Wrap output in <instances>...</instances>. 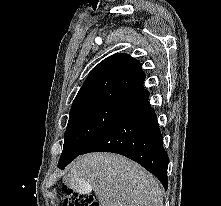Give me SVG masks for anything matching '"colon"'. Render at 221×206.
Masks as SVG:
<instances>
[{"mask_svg":"<svg viewBox=\"0 0 221 206\" xmlns=\"http://www.w3.org/2000/svg\"><path fill=\"white\" fill-rule=\"evenodd\" d=\"M64 206H101L92 196L75 194L71 190H66Z\"/></svg>","mask_w":221,"mask_h":206,"instance_id":"colon-1","label":"colon"}]
</instances>
